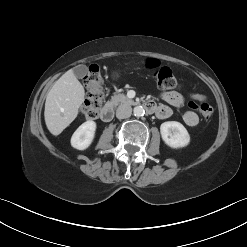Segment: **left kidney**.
Segmentation results:
<instances>
[{
	"instance_id": "obj_1",
	"label": "left kidney",
	"mask_w": 247,
	"mask_h": 247,
	"mask_svg": "<svg viewBox=\"0 0 247 247\" xmlns=\"http://www.w3.org/2000/svg\"><path fill=\"white\" fill-rule=\"evenodd\" d=\"M160 132L163 141L171 148H182L190 142L188 131L179 122L167 121L162 123Z\"/></svg>"
}]
</instances>
